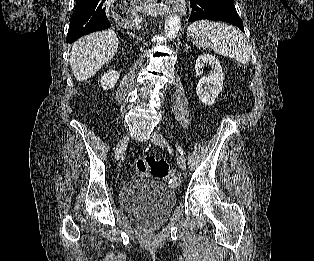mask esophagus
Wrapping results in <instances>:
<instances>
[{
	"mask_svg": "<svg viewBox=\"0 0 314 261\" xmlns=\"http://www.w3.org/2000/svg\"><path fill=\"white\" fill-rule=\"evenodd\" d=\"M168 4L156 6L155 10L161 14H170L172 12H178L179 14H185V4L183 0H166Z\"/></svg>",
	"mask_w": 314,
	"mask_h": 261,
	"instance_id": "esophagus-1",
	"label": "esophagus"
}]
</instances>
